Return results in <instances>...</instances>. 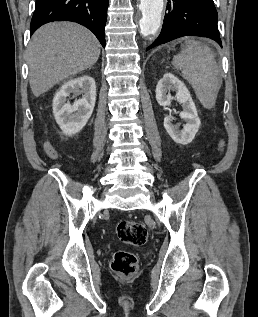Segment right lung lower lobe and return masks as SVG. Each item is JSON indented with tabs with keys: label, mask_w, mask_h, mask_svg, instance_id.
Wrapping results in <instances>:
<instances>
[{
	"label": "right lung lower lobe",
	"mask_w": 258,
	"mask_h": 317,
	"mask_svg": "<svg viewBox=\"0 0 258 317\" xmlns=\"http://www.w3.org/2000/svg\"><path fill=\"white\" fill-rule=\"evenodd\" d=\"M108 0H36L31 20V35L52 21L77 22L91 30L105 47Z\"/></svg>",
	"instance_id": "98d812e1"
}]
</instances>
